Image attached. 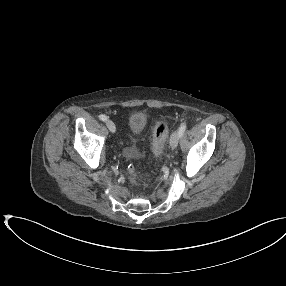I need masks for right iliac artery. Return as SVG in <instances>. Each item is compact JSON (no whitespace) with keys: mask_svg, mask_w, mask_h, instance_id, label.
<instances>
[{"mask_svg":"<svg viewBox=\"0 0 286 286\" xmlns=\"http://www.w3.org/2000/svg\"><path fill=\"white\" fill-rule=\"evenodd\" d=\"M99 118H100V120H102V121H106V120H107V116H105V115H103V114H101V115L99 116Z\"/></svg>","mask_w":286,"mask_h":286,"instance_id":"right-iliac-artery-1","label":"right iliac artery"}]
</instances>
